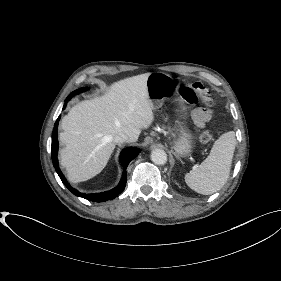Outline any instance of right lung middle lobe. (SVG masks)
<instances>
[{
	"instance_id": "dd1d6c3e",
	"label": "right lung middle lobe",
	"mask_w": 281,
	"mask_h": 281,
	"mask_svg": "<svg viewBox=\"0 0 281 281\" xmlns=\"http://www.w3.org/2000/svg\"><path fill=\"white\" fill-rule=\"evenodd\" d=\"M86 90H88V87H86V88H80V89H78V90L73 91L70 95L74 96V95H76V94H78V93H80V92L86 91Z\"/></svg>"
}]
</instances>
